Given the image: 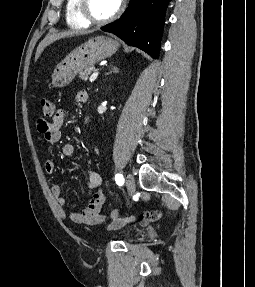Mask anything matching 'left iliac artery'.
Segmentation results:
<instances>
[{
  "label": "left iliac artery",
  "instance_id": "left-iliac-artery-1",
  "mask_svg": "<svg viewBox=\"0 0 255 287\" xmlns=\"http://www.w3.org/2000/svg\"><path fill=\"white\" fill-rule=\"evenodd\" d=\"M115 181L118 185L122 186L124 184V178L122 174H116Z\"/></svg>",
  "mask_w": 255,
  "mask_h": 287
}]
</instances>
